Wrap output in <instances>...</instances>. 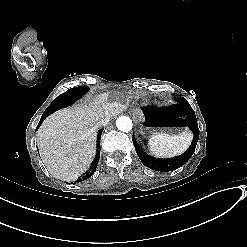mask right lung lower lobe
<instances>
[{
	"label": "right lung lower lobe",
	"instance_id": "1",
	"mask_svg": "<svg viewBox=\"0 0 247 247\" xmlns=\"http://www.w3.org/2000/svg\"><path fill=\"white\" fill-rule=\"evenodd\" d=\"M48 115L46 114H43L38 125H37V128L36 130L39 128V126L42 124V122L44 121V119L47 117ZM101 133H102V130L99 131V134H98V144H97V154H96V157L94 158V160L92 161V164L90 166V169L89 171L86 172V175L83 177L84 179H87L89 177H91L95 170H96V167H97V164L99 162V157H100V137H101Z\"/></svg>",
	"mask_w": 247,
	"mask_h": 247
}]
</instances>
